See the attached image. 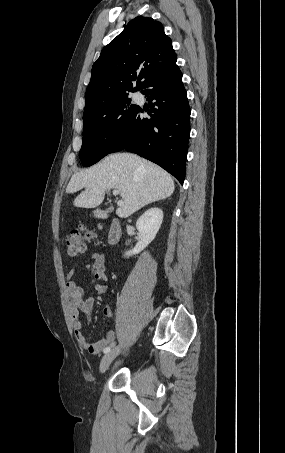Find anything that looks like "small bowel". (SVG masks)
Masks as SVG:
<instances>
[{
  "label": "small bowel",
  "mask_w": 285,
  "mask_h": 453,
  "mask_svg": "<svg viewBox=\"0 0 285 453\" xmlns=\"http://www.w3.org/2000/svg\"><path fill=\"white\" fill-rule=\"evenodd\" d=\"M90 263L87 267L93 274V286L94 290L98 295H104L107 292V274L105 270V256L102 253H93L89 257ZM75 269H72L67 274V288L70 295V314L72 318V325L74 336L81 348L91 354H98L108 345L114 343L116 338V332L114 330H107L103 336L95 343H91L87 340L83 334V324L80 319V313H84L87 320L90 319V315L95 305V299L93 296L85 295L83 289L77 285L74 280ZM102 314L105 318H111L113 315L112 308L106 306L102 310Z\"/></svg>",
  "instance_id": "c3829d8e"
}]
</instances>
